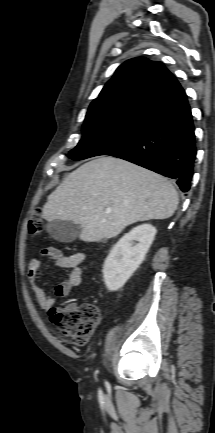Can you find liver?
<instances>
[{
	"instance_id": "1",
	"label": "liver",
	"mask_w": 215,
	"mask_h": 433,
	"mask_svg": "<svg viewBox=\"0 0 215 433\" xmlns=\"http://www.w3.org/2000/svg\"><path fill=\"white\" fill-rule=\"evenodd\" d=\"M178 203V194L167 178L108 156L68 174L48 196L42 216L48 222L72 221L81 226L82 241L99 242L116 237L127 225L167 219Z\"/></svg>"
}]
</instances>
